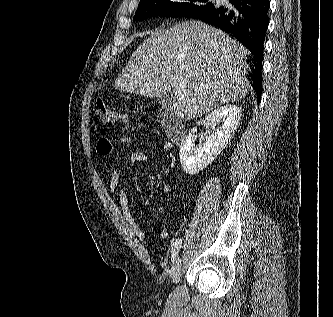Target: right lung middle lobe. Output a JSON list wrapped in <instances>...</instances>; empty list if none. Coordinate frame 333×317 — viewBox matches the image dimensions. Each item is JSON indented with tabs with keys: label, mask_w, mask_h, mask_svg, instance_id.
Here are the masks:
<instances>
[{
	"label": "right lung middle lobe",
	"mask_w": 333,
	"mask_h": 317,
	"mask_svg": "<svg viewBox=\"0 0 333 317\" xmlns=\"http://www.w3.org/2000/svg\"><path fill=\"white\" fill-rule=\"evenodd\" d=\"M215 7L210 0H140L135 21L154 16L193 18L203 10Z\"/></svg>",
	"instance_id": "dd1d6c3e"
}]
</instances>
